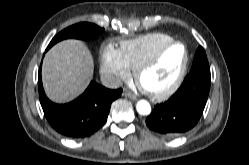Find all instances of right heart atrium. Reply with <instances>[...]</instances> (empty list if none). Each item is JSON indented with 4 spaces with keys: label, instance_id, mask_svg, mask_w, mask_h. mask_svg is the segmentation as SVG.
<instances>
[{
    "label": "right heart atrium",
    "instance_id": "right-heart-atrium-1",
    "mask_svg": "<svg viewBox=\"0 0 249 165\" xmlns=\"http://www.w3.org/2000/svg\"><path fill=\"white\" fill-rule=\"evenodd\" d=\"M100 71L112 85L128 80L131 76V70L122 58L120 51L110 45L102 51Z\"/></svg>",
    "mask_w": 249,
    "mask_h": 165
}]
</instances>
